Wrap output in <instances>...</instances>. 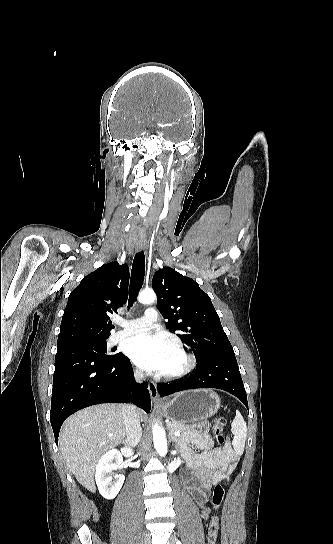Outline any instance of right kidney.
Instances as JSON below:
<instances>
[{
  "label": "right kidney",
  "mask_w": 333,
  "mask_h": 544,
  "mask_svg": "<svg viewBox=\"0 0 333 544\" xmlns=\"http://www.w3.org/2000/svg\"><path fill=\"white\" fill-rule=\"evenodd\" d=\"M132 451L128 448H122L120 451L112 449L102 455L96 465L95 480L99 493L108 500L114 499L119 493L125 477L124 475H115V481L112 480V472L123 465V457H130Z\"/></svg>",
  "instance_id": "ca27d5eb"
}]
</instances>
